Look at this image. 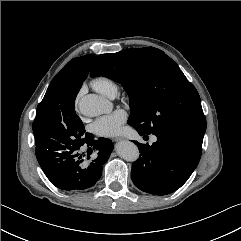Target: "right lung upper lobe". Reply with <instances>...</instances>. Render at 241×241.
<instances>
[{
	"label": "right lung upper lobe",
	"instance_id": "1",
	"mask_svg": "<svg viewBox=\"0 0 241 241\" xmlns=\"http://www.w3.org/2000/svg\"><path fill=\"white\" fill-rule=\"evenodd\" d=\"M94 55H86L74 58L54 77L44 96L53 100L58 106H66L69 102H75V98L87 78Z\"/></svg>",
	"mask_w": 241,
	"mask_h": 241
}]
</instances>
